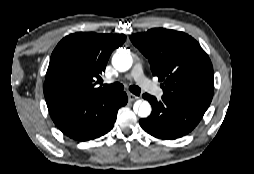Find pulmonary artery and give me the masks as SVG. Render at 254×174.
<instances>
[{"label":"pulmonary artery","instance_id":"pulmonary-artery-1","mask_svg":"<svg viewBox=\"0 0 254 174\" xmlns=\"http://www.w3.org/2000/svg\"><path fill=\"white\" fill-rule=\"evenodd\" d=\"M130 77L135 80V82L144 90L149 92L150 94L161 97L163 92L162 90L156 86L154 83H152L148 78L145 77L143 73V67L140 63L136 64L131 73Z\"/></svg>","mask_w":254,"mask_h":174}]
</instances>
